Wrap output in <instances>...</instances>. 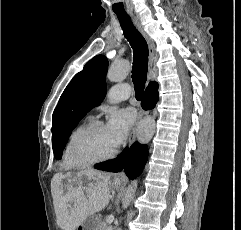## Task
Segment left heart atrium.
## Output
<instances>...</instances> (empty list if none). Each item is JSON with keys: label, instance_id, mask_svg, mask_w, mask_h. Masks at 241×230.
<instances>
[{"label": "left heart atrium", "instance_id": "39dd6f15", "mask_svg": "<svg viewBox=\"0 0 241 230\" xmlns=\"http://www.w3.org/2000/svg\"><path fill=\"white\" fill-rule=\"evenodd\" d=\"M133 122L134 114L129 109L112 113L105 128L108 139L114 148L119 147L125 141Z\"/></svg>", "mask_w": 241, "mask_h": 230}]
</instances>
